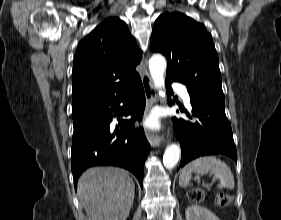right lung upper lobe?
<instances>
[{"instance_id": "cb5924a9", "label": "right lung upper lobe", "mask_w": 281, "mask_h": 220, "mask_svg": "<svg viewBox=\"0 0 281 220\" xmlns=\"http://www.w3.org/2000/svg\"><path fill=\"white\" fill-rule=\"evenodd\" d=\"M141 52L117 17L99 24L78 45L73 66V117L131 89Z\"/></svg>"}]
</instances>
